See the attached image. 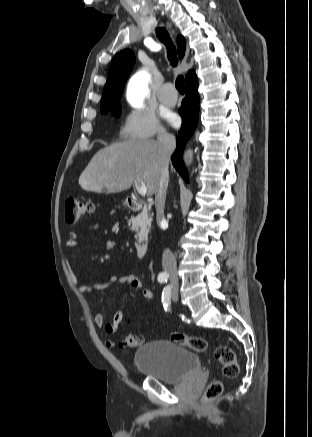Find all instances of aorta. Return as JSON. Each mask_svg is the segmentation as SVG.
Returning <instances> with one entry per match:
<instances>
[{"instance_id": "obj_1", "label": "aorta", "mask_w": 312, "mask_h": 437, "mask_svg": "<svg viewBox=\"0 0 312 437\" xmlns=\"http://www.w3.org/2000/svg\"><path fill=\"white\" fill-rule=\"evenodd\" d=\"M150 75L146 71H139L130 80L127 89V99L134 107H140L144 97L148 94Z\"/></svg>"}]
</instances>
